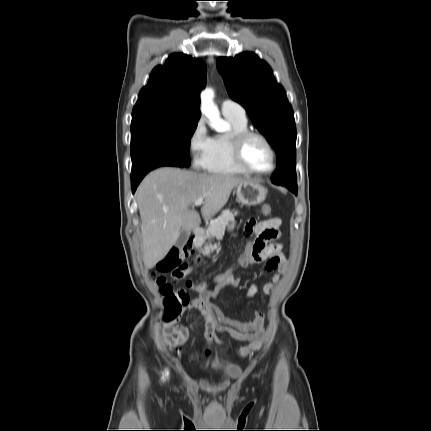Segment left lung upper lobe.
I'll list each match as a JSON object with an SVG mask.
<instances>
[{"label":"left lung upper lobe","mask_w":431,"mask_h":431,"mask_svg":"<svg viewBox=\"0 0 431 431\" xmlns=\"http://www.w3.org/2000/svg\"><path fill=\"white\" fill-rule=\"evenodd\" d=\"M217 68L229 96L245 108L277 153L272 182L297 187L294 113L270 66L255 53L243 52L234 58L219 57Z\"/></svg>","instance_id":"5c2ea615"}]
</instances>
